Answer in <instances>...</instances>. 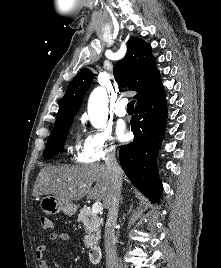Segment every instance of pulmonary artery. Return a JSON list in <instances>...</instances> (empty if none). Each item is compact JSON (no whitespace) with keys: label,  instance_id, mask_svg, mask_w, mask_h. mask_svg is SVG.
Wrapping results in <instances>:
<instances>
[{"label":"pulmonary artery","instance_id":"e3ab8cb5","mask_svg":"<svg viewBox=\"0 0 221 268\" xmlns=\"http://www.w3.org/2000/svg\"><path fill=\"white\" fill-rule=\"evenodd\" d=\"M126 104L127 100L125 99H121L117 102L114 110L117 116L124 117L127 114Z\"/></svg>","mask_w":221,"mask_h":268}]
</instances>
